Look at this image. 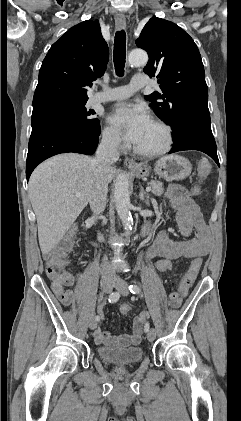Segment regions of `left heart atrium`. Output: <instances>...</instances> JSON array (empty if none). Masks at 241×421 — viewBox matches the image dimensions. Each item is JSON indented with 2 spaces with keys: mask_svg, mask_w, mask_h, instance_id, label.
<instances>
[{
  "mask_svg": "<svg viewBox=\"0 0 241 421\" xmlns=\"http://www.w3.org/2000/svg\"><path fill=\"white\" fill-rule=\"evenodd\" d=\"M110 123L121 131L125 139L136 144L151 123L145 109L140 105L121 103L114 107L108 116Z\"/></svg>",
  "mask_w": 241,
  "mask_h": 421,
  "instance_id": "left-heart-atrium-1",
  "label": "left heart atrium"
}]
</instances>
